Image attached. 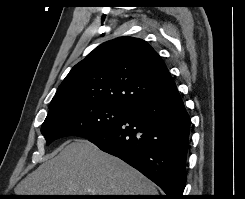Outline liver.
Listing matches in <instances>:
<instances>
[{"instance_id":"obj_1","label":"liver","mask_w":245,"mask_h":199,"mask_svg":"<svg viewBox=\"0 0 245 199\" xmlns=\"http://www.w3.org/2000/svg\"><path fill=\"white\" fill-rule=\"evenodd\" d=\"M17 195H158L155 185L86 139H75L28 174Z\"/></svg>"}]
</instances>
